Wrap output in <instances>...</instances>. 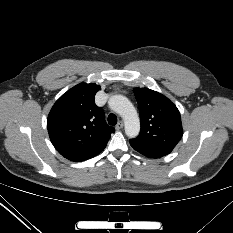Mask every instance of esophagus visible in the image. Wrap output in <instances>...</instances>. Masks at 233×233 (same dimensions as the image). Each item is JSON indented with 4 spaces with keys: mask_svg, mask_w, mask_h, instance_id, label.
Returning a JSON list of instances; mask_svg holds the SVG:
<instances>
[{
    "mask_svg": "<svg viewBox=\"0 0 233 233\" xmlns=\"http://www.w3.org/2000/svg\"><path fill=\"white\" fill-rule=\"evenodd\" d=\"M123 126H124L123 122H122V121H119L118 124L116 125V130L122 129Z\"/></svg>",
    "mask_w": 233,
    "mask_h": 233,
    "instance_id": "esophagus-1",
    "label": "esophagus"
}]
</instances>
